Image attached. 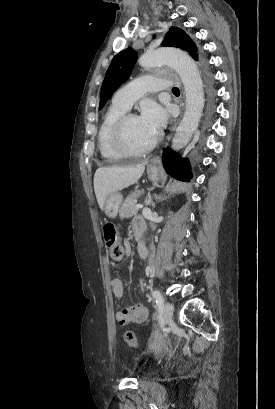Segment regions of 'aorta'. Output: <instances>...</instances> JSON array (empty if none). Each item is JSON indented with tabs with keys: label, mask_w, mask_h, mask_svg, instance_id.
I'll return each instance as SVG.
<instances>
[{
	"label": "aorta",
	"mask_w": 275,
	"mask_h": 409,
	"mask_svg": "<svg viewBox=\"0 0 275 409\" xmlns=\"http://www.w3.org/2000/svg\"><path fill=\"white\" fill-rule=\"evenodd\" d=\"M139 64L152 66L169 64L182 78L184 84L186 106L183 118L172 138V148L180 150L190 142L195 134L204 106L203 82L199 68L193 58L177 48H158L140 56Z\"/></svg>",
	"instance_id": "obj_1"
}]
</instances>
